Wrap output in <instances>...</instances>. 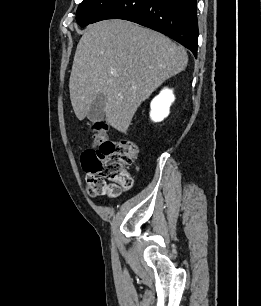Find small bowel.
<instances>
[{
    "mask_svg": "<svg viewBox=\"0 0 261 306\" xmlns=\"http://www.w3.org/2000/svg\"><path fill=\"white\" fill-rule=\"evenodd\" d=\"M120 192H121V189H118L116 191H114V190L107 191V193L110 194V195H118Z\"/></svg>",
    "mask_w": 261,
    "mask_h": 306,
    "instance_id": "obj_1",
    "label": "small bowel"
}]
</instances>
